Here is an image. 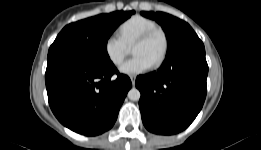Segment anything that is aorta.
Listing matches in <instances>:
<instances>
[{
	"instance_id": "obj_1",
	"label": "aorta",
	"mask_w": 261,
	"mask_h": 150,
	"mask_svg": "<svg viewBox=\"0 0 261 150\" xmlns=\"http://www.w3.org/2000/svg\"><path fill=\"white\" fill-rule=\"evenodd\" d=\"M128 98L132 101H138L141 97V93L138 89L132 88L128 92Z\"/></svg>"
}]
</instances>
